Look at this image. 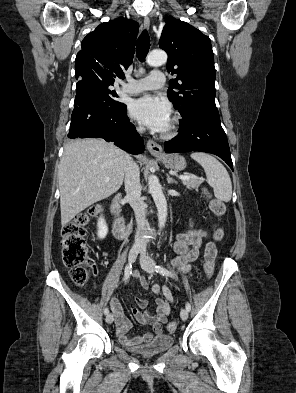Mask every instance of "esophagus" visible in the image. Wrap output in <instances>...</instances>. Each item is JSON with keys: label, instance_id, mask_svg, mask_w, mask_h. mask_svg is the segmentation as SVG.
I'll return each mask as SVG.
<instances>
[{"label": "esophagus", "instance_id": "34e87169", "mask_svg": "<svg viewBox=\"0 0 296 393\" xmlns=\"http://www.w3.org/2000/svg\"><path fill=\"white\" fill-rule=\"evenodd\" d=\"M143 24L146 29H149L150 19L147 16L144 17ZM147 149L154 156L162 154V147L151 139L147 141Z\"/></svg>", "mask_w": 296, "mask_h": 393}]
</instances>
